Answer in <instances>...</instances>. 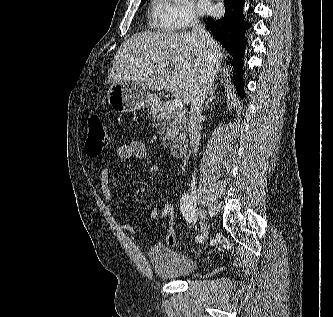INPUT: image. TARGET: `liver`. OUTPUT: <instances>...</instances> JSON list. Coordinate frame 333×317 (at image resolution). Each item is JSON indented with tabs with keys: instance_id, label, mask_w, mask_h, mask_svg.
Masks as SVG:
<instances>
[{
	"instance_id": "obj_1",
	"label": "liver",
	"mask_w": 333,
	"mask_h": 317,
	"mask_svg": "<svg viewBox=\"0 0 333 317\" xmlns=\"http://www.w3.org/2000/svg\"><path fill=\"white\" fill-rule=\"evenodd\" d=\"M224 57L222 47L211 36L207 43L193 32L144 31L120 46L109 81L131 79L151 90L165 89L189 104L195 82L206 73L207 65L213 64L214 81Z\"/></svg>"
}]
</instances>
